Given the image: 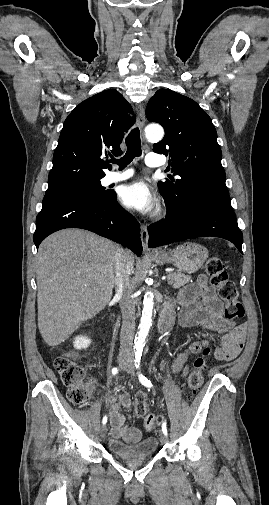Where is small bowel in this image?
Masks as SVG:
<instances>
[{
    "instance_id": "obj_1",
    "label": "small bowel",
    "mask_w": 269,
    "mask_h": 505,
    "mask_svg": "<svg viewBox=\"0 0 269 505\" xmlns=\"http://www.w3.org/2000/svg\"><path fill=\"white\" fill-rule=\"evenodd\" d=\"M178 301L181 305L179 322L184 327L201 328L221 336V345L216 349L215 358L218 361H230L236 358L244 344L247 326L234 325L223 316V304L218 299L214 288L208 285L205 275L198 277L197 283L184 288ZM207 340L193 342L188 349L181 352L171 369L175 373L187 374V360L207 344ZM119 403L130 410L131 401L128 393L119 395ZM124 415L120 412L119 404L112 401L110 405L111 435L116 439L127 442H137L142 433L138 427L125 426Z\"/></svg>"
}]
</instances>
